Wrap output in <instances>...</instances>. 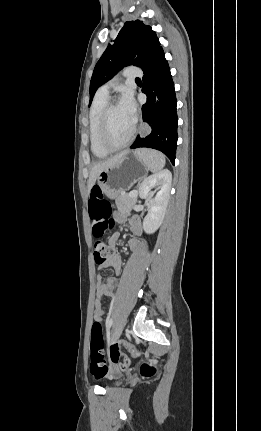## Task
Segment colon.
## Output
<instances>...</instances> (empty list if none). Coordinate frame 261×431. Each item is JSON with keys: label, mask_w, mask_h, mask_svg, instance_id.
Listing matches in <instances>:
<instances>
[{"label": "colon", "mask_w": 261, "mask_h": 431, "mask_svg": "<svg viewBox=\"0 0 261 431\" xmlns=\"http://www.w3.org/2000/svg\"><path fill=\"white\" fill-rule=\"evenodd\" d=\"M89 215L92 220V231L97 238L95 242L94 258L97 264L103 263L114 253L112 247L108 245L102 238L112 229L113 220L111 218V206L108 201L103 199L101 190L98 186L92 189L91 196L88 203ZM99 302V301H98ZM100 303V302H99ZM124 345L116 343L109 346L106 364L103 354V338H102V324L95 321L91 331V364L90 370L93 374L94 381H105L109 379H120L121 373L128 370L131 364L130 357L123 355L120 350ZM127 348L132 356L137 357L139 350L136 349L135 343H128ZM141 372L144 376H152L155 373V368L147 363L141 367ZM107 373V375H106Z\"/></svg>", "instance_id": "5ec220e1"}]
</instances>
